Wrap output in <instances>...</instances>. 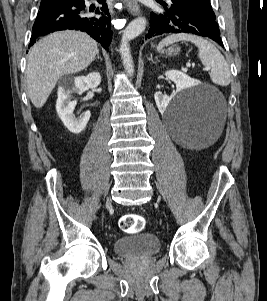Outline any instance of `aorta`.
<instances>
[{
    "label": "aorta",
    "instance_id": "762f6f07",
    "mask_svg": "<svg viewBox=\"0 0 267 301\" xmlns=\"http://www.w3.org/2000/svg\"><path fill=\"white\" fill-rule=\"evenodd\" d=\"M146 24L147 20L145 17H138L128 24L122 34L120 53L123 59L124 68L131 76L134 73V65L130 54L129 42L138 37L145 30Z\"/></svg>",
    "mask_w": 267,
    "mask_h": 301
}]
</instances>
